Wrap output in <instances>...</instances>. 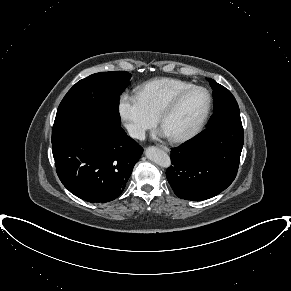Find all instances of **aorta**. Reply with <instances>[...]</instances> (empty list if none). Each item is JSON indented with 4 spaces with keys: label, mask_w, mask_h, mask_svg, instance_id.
I'll return each mask as SVG.
<instances>
[{
    "label": "aorta",
    "mask_w": 291,
    "mask_h": 291,
    "mask_svg": "<svg viewBox=\"0 0 291 291\" xmlns=\"http://www.w3.org/2000/svg\"><path fill=\"white\" fill-rule=\"evenodd\" d=\"M145 155L150 161L161 167L167 168L171 165L169 155L155 146L148 147Z\"/></svg>",
    "instance_id": "aorta-1"
}]
</instances>
